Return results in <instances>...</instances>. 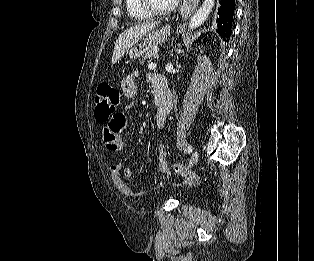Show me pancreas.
Returning <instances> with one entry per match:
<instances>
[{
	"mask_svg": "<svg viewBox=\"0 0 314 261\" xmlns=\"http://www.w3.org/2000/svg\"><path fill=\"white\" fill-rule=\"evenodd\" d=\"M157 57H158V48L155 47V48L151 49L150 51H148L147 53H145V55L143 56V59L141 61V64H144L147 60L157 58Z\"/></svg>",
	"mask_w": 314,
	"mask_h": 261,
	"instance_id": "1",
	"label": "pancreas"
}]
</instances>
